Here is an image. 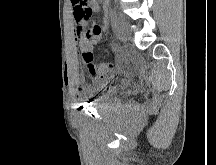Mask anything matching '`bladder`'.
Returning <instances> with one entry per match:
<instances>
[{
	"label": "bladder",
	"mask_w": 216,
	"mask_h": 165,
	"mask_svg": "<svg viewBox=\"0 0 216 165\" xmlns=\"http://www.w3.org/2000/svg\"><path fill=\"white\" fill-rule=\"evenodd\" d=\"M118 76H101L95 83L98 94L93 100V106L103 109L110 105L117 94V90L110 86H117Z\"/></svg>",
	"instance_id": "bladder-1"
}]
</instances>
